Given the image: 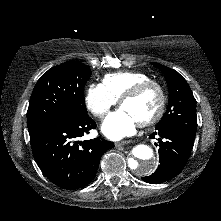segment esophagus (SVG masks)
I'll use <instances>...</instances> for the list:
<instances>
[{"label":"esophagus","instance_id":"esophagus-1","mask_svg":"<svg viewBox=\"0 0 221 221\" xmlns=\"http://www.w3.org/2000/svg\"><path fill=\"white\" fill-rule=\"evenodd\" d=\"M130 142H131L130 140H125V141L116 142V143H115V146H116V147H120V146L126 145V144H128V143H130Z\"/></svg>","mask_w":221,"mask_h":221}]
</instances>
